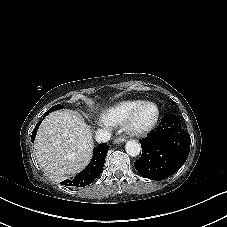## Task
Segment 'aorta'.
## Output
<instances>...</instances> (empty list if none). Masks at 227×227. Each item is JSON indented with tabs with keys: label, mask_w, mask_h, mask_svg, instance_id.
I'll list each match as a JSON object with an SVG mask.
<instances>
[{
	"label": "aorta",
	"mask_w": 227,
	"mask_h": 227,
	"mask_svg": "<svg viewBox=\"0 0 227 227\" xmlns=\"http://www.w3.org/2000/svg\"><path fill=\"white\" fill-rule=\"evenodd\" d=\"M125 150L131 157H136L140 154L141 146L136 140H129L125 145Z\"/></svg>",
	"instance_id": "1"
}]
</instances>
